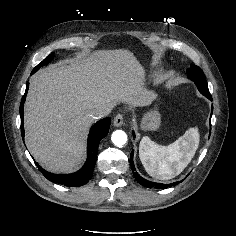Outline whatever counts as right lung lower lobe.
<instances>
[{"label": "right lung lower lobe", "instance_id": "obj_1", "mask_svg": "<svg viewBox=\"0 0 236 236\" xmlns=\"http://www.w3.org/2000/svg\"><path fill=\"white\" fill-rule=\"evenodd\" d=\"M33 74V73H32ZM29 84L26 85V91L24 96L22 97L20 103V117H21V134L24 139V117H23V107L26 98V94L28 91ZM110 118H104L97 122L90 130L88 137V148H87V161L85 165L76 173L73 174H52L45 171L41 168L37 163V167L42 172V174L50 181L56 182L58 184H62L68 187H79L86 184L90 178L92 177L94 166L97 159V151L99 141L106 137L109 127H110Z\"/></svg>", "mask_w": 236, "mask_h": 236}]
</instances>
